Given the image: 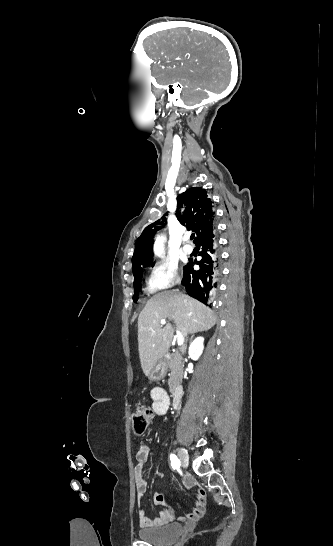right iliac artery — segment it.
Masks as SVG:
<instances>
[{
    "instance_id": "82829eb1",
    "label": "right iliac artery",
    "mask_w": 333,
    "mask_h": 546,
    "mask_svg": "<svg viewBox=\"0 0 333 546\" xmlns=\"http://www.w3.org/2000/svg\"><path fill=\"white\" fill-rule=\"evenodd\" d=\"M170 460L173 469H178L180 467V460L175 454L170 455Z\"/></svg>"
}]
</instances>
